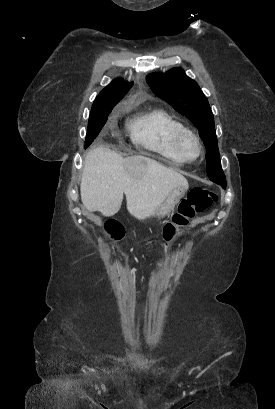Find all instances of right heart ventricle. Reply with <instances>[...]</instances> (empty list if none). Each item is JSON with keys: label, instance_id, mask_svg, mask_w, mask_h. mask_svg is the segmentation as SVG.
Masks as SVG:
<instances>
[{"label": "right heart ventricle", "instance_id": "right-heart-ventricle-1", "mask_svg": "<svg viewBox=\"0 0 275 409\" xmlns=\"http://www.w3.org/2000/svg\"><path fill=\"white\" fill-rule=\"evenodd\" d=\"M183 129V123L161 109L141 115L128 124L132 142L159 157H176L173 139Z\"/></svg>", "mask_w": 275, "mask_h": 409}]
</instances>
